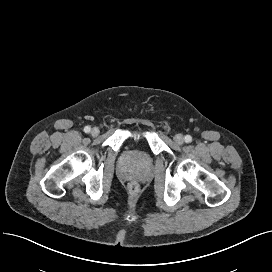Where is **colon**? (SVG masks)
<instances>
[{
	"label": "colon",
	"mask_w": 272,
	"mask_h": 272,
	"mask_svg": "<svg viewBox=\"0 0 272 272\" xmlns=\"http://www.w3.org/2000/svg\"><path fill=\"white\" fill-rule=\"evenodd\" d=\"M130 190H131L132 192H136V191L138 190V185H137V183H131V184H130Z\"/></svg>",
	"instance_id": "obj_1"
}]
</instances>
